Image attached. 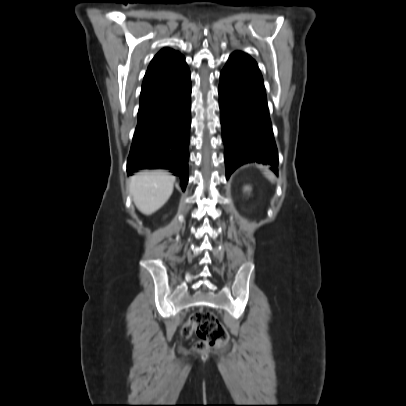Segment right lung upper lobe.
I'll return each instance as SVG.
<instances>
[{
    "instance_id": "cb5924a9",
    "label": "right lung upper lobe",
    "mask_w": 406,
    "mask_h": 406,
    "mask_svg": "<svg viewBox=\"0 0 406 406\" xmlns=\"http://www.w3.org/2000/svg\"><path fill=\"white\" fill-rule=\"evenodd\" d=\"M183 66V55L173 49H162L151 61L145 74L142 90L154 87L171 78Z\"/></svg>"
}]
</instances>
